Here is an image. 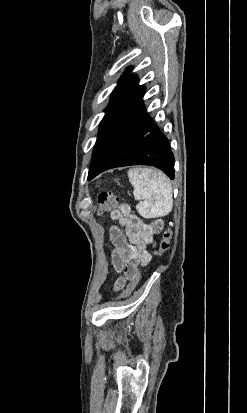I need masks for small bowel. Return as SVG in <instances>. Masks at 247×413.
I'll use <instances>...</instances> for the list:
<instances>
[{"instance_id":"1","label":"small bowel","mask_w":247,"mask_h":413,"mask_svg":"<svg viewBox=\"0 0 247 413\" xmlns=\"http://www.w3.org/2000/svg\"><path fill=\"white\" fill-rule=\"evenodd\" d=\"M110 218L118 225L109 231V237L114 250L111 261L118 271L123 270L125 279H132L140 266H146L151 256L148 246L155 245V238L163 229V221L156 219L150 223L132 212L128 204H121L110 212ZM114 287L123 291L127 287L126 281H115Z\"/></svg>"}]
</instances>
